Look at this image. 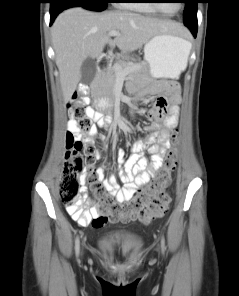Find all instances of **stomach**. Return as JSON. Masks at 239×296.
Instances as JSON below:
<instances>
[{
    "label": "stomach",
    "instance_id": "obj_1",
    "mask_svg": "<svg viewBox=\"0 0 239 296\" xmlns=\"http://www.w3.org/2000/svg\"><path fill=\"white\" fill-rule=\"evenodd\" d=\"M191 43L172 33L152 37L144 47L147 72L153 79H177L186 68Z\"/></svg>",
    "mask_w": 239,
    "mask_h": 296
}]
</instances>
